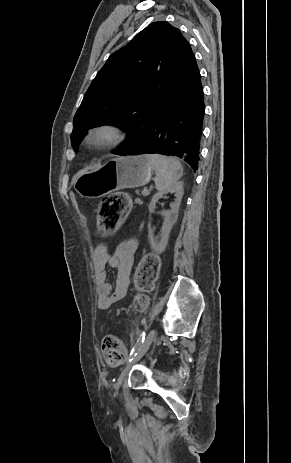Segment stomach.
<instances>
[{
    "instance_id": "1",
    "label": "stomach",
    "mask_w": 291,
    "mask_h": 463,
    "mask_svg": "<svg viewBox=\"0 0 291 463\" xmlns=\"http://www.w3.org/2000/svg\"><path fill=\"white\" fill-rule=\"evenodd\" d=\"M151 176L152 166L144 155L126 156L80 170L73 185L81 196L100 198L117 190L144 186Z\"/></svg>"
}]
</instances>
